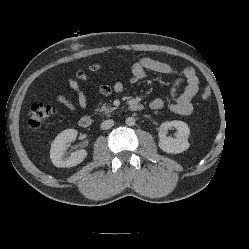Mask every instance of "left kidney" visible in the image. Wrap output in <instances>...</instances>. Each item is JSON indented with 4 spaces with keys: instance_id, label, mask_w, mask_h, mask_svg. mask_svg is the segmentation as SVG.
<instances>
[{
    "instance_id": "1",
    "label": "left kidney",
    "mask_w": 249,
    "mask_h": 249,
    "mask_svg": "<svg viewBox=\"0 0 249 249\" xmlns=\"http://www.w3.org/2000/svg\"><path fill=\"white\" fill-rule=\"evenodd\" d=\"M170 128L177 130V137H167L166 132ZM190 129L183 121H167L161 124L159 129V147L161 150L171 154L181 153L189 148L188 137Z\"/></svg>"
}]
</instances>
